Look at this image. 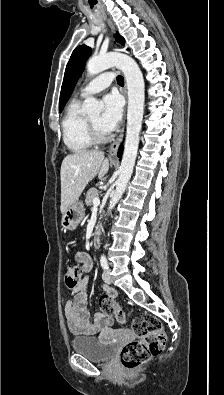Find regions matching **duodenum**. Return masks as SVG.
<instances>
[{"label": "duodenum", "mask_w": 224, "mask_h": 395, "mask_svg": "<svg viewBox=\"0 0 224 395\" xmlns=\"http://www.w3.org/2000/svg\"><path fill=\"white\" fill-rule=\"evenodd\" d=\"M99 235H100V228H99V225H96L94 232L92 234V237H91V245L93 247H98L100 245Z\"/></svg>", "instance_id": "duodenum-1"}]
</instances>
